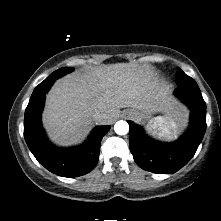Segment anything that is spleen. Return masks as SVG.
Masks as SVG:
<instances>
[{
  "mask_svg": "<svg viewBox=\"0 0 221 221\" xmlns=\"http://www.w3.org/2000/svg\"><path fill=\"white\" fill-rule=\"evenodd\" d=\"M185 117H186V115H183L182 117L177 118L178 123H176L175 121H167V120H165L162 117H157L156 118L157 122H160V123L164 122L165 123L161 127L162 128L161 134L163 136H165V138H167V139L174 138V136L176 135L177 130H178L180 124L184 123ZM153 127L155 128L156 126H153Z\"/></svg>",
  "mask_w": 221,
  "mask_h": 221,
  "instance_id": "spleen-1",
  "label": "spleen"
}]
</instances>
